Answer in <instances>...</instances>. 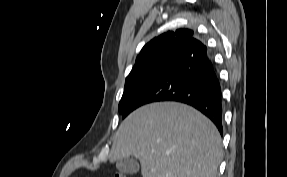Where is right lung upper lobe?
Returning <instances> with one entry per match:
<instances>
[{
	"instance_id": "obj_1",
	"label": "right lung upper lobe",
	"mask_w": 287,
	"mask_h": 177,
	"mask_svg": "<svg viewBox=\"0 0 287 177\" xmlns=\"http://www.w3.org/2000/svg\"><path fill=\"white\" fill-rule=\"evenodd\" d=\"M196 41V36L189 29L163 33L142 48L130 74L168 57H177L181 61L192 58L200 50V44Z\"/></svg>"
}]
</instances>
